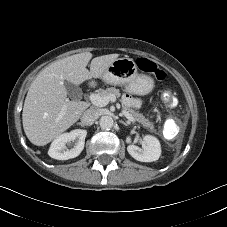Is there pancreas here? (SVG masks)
I'll list each match as a JSON object with an SVG mask.
<instances>
[{
	"label": "pancreas",
	"instance_id": "obj_1",
	"mask_svg": "<svg viewBox=\"0 0 227 227\" xmlns=\"http://www.w3.org/2000/svg\"><path fill=\"white\" fill-rule=\"evenodd\" d=\"M98 95L100 96H108V95H114L116 97H120V92L118 89L111 87L107 88L105 90H102ZM134 119V121L139 122L143 127L148 128L151 132H154V124L153 122L149 121L143 114L129 108H124Z\"/></svg>",
	"mask_w": 227,
	"mask_h": 227
}]
</instances>
